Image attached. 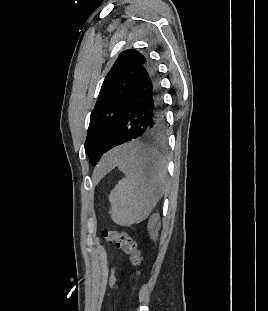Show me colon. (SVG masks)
Masks as SVG:
<instances>
[{
	"mask_svg": "<svg viewBox=\"0 0 268 311\" xmlns=\"http://www.w3.org/2000/svg\"><path fill=\"white\" fill-rule=\"evenodd\" d=\"M102 236L108 244L121 248L130 256V260L132 264L137 267V274L139 275L142 265V255L136 242L125 232L103 230Z\"/></svg>",
	"mask_w": 268,
	"mask_h": 311,
	"instance_id": "colon-1",
	"label": "colon"
}]
</instances>
